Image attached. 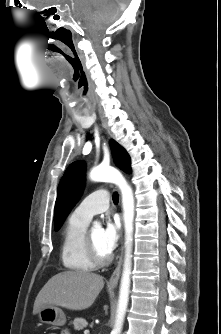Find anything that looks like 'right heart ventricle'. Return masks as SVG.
Listing matches in <instances>:
<instances>
[{
  "label": "right heart ventricle",
  "mask_w": 221,
  "mask_h": 334,
  "mask_svg": "<svg viewBox=\"0 0 221 334\" xmlns=\"http://www.w3.org/2000/svg\"><path fill=\"white\" fill-rule=\"evenodd\" d=\"M87 225V221L76 217L72 213L63 229L61 260L64 267L73 272L86 273L96 268L85 249Z\"/></svg>",
  "instance_id": "obj_1"
}]
</instances>
